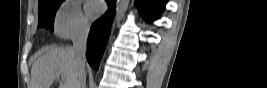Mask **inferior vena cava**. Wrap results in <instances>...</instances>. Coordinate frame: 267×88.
Segmentation results:
<instances>
[{
	"label": "inferior vena cava",
	"mask_w": 267,
	"mask_h": 88,
	"mask_svg": "<svg viewBox=\"0 0 267 88\" xmlns=\"http://www.w3.org/2000/svg\"><path fill=\"white\" fill-rule=\"evenodd\" d=\"M89 30V25L84 24L73 36L72 52L75 56L77 67V81L75 88H86L85 53Z\"/></svg>",
	"instance_id": "1"
}]
</instances>
